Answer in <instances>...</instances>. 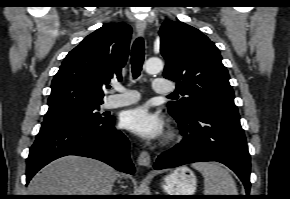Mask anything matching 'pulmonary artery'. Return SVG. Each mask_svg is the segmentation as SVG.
I'll return each mask as SVG.
<instances>
[{
    "label": "pulmonary artery",
    "mask_w": 290,
    "mask_h": 199,
    "mask_svg": "<svg viewBox=\"0 0 290 199\" xmlns=\"http://www.w3.org/2000/svg\"><path fill=\"white\" fill-rule=\"evenodd\" d=\"M153 88L159 94H168L174 91L175 86L172 82L163 79H156L153 81ZM113 91L115 94L108 96L104 102V107L106 109L127 106L140 99L137 92L128 90L120 84L113 85Z\"/></svg>",
    "instance_id": "pulmonary-artery-1"
}]
</instances>
